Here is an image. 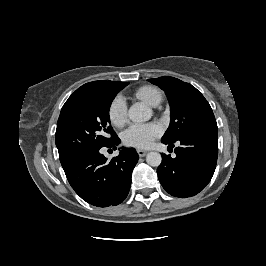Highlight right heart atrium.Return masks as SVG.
Returning <instances> with one entry per match:
<instances>
[{
    "label": "right heart atrium",
    "mask_w": 266,
    "mask_h": 266,
    "mask_svg": "<svg viewBox=\"0 0 266 266\" xmlns=\"http://www.w3.org/2000/svg\"><path fill=\"white\" fill-rule=\"evenodd\" d=\"M109 118L113 125L123 126L128 120L127 105L120 96L116 97L109 108Z\"/></svg>",
    "instance_id": "obj_1"
}]
</instances>
